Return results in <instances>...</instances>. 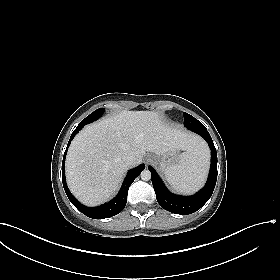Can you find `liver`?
<instances>
[{
    "mask_svg": "<svg viewBox=\"0 0 280 280\" xmlns=\"http://www.w3.org/2000/svg\"><path fill=\"white\" fill-rule=\"evenodd\" d=\"M201 148L206 146L198 136L167 125L156 112L122 111L85 126L74 138L66 157L67 183L82 203L94 206L118 189L129 167L124 155H134L135 166L146 152L193 154Z\"/></svg>",
    "mask_w": 280,
    "mask_h": 280,
    "instance_id": "1",
    "label": "liver"
}]
</instances>
